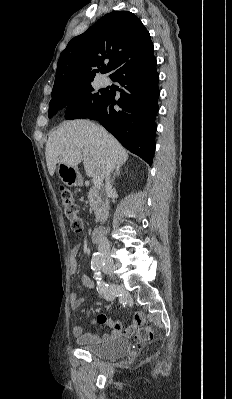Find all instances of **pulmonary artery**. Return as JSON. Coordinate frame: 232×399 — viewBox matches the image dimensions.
I'll use <instances>...</instances> for the list:
<instances>
[{
	"instance_id": "1",
	"label": "pulmonary artery",
	"mask_w": 232,
	"mask_h": 399,
	"mask_svg": "<svg viewBox=\"0 0 232 399\" xmlns=\"http://www.w3.org/2000/svg\"><path fill=\"white\" fill-rule=\"evenodd\" d=\"M98 83L101 87H106L110 84V80L105 76H101L98 80Z\"/></svg>"
}]
</instances>
